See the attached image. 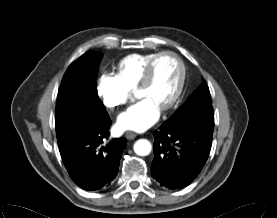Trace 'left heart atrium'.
Wrapping results in <instances>:
<instances>
[{"label":"left heart atrium","mask_w":277,"mask_h":218,"mask_svg":"<svg viewBox=\"0 0 277 218\" xmlns=\"http://www.w3.org/2000/svg\"><path fill=\"white\" fill-rule=\"evenodd\" d=\"M160 116V107L150 98H142L119 114L117 126L120 130L143 131L151 127Z\"/></svg>","instance_id":"left-heart-atrium-1"}]
</instances>
